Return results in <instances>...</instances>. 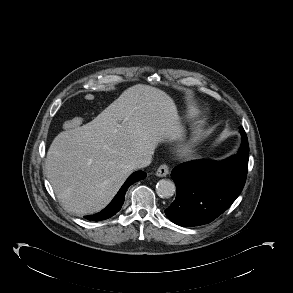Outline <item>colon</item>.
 Masks as SVG:
<instances>
[{
	"mask_svg": "<svg viewBox=\"0 0 293 293\" xmlns=\"http://www.w3.org/2000/svg\"><path fill=\"white\" fill-rule=\"evenodd\" d=\"M85 99L89 102L95 99V96L92 93H87ZM83 123V120L79 117L67 120L64 122L63 127L67 130L74 129L79 127Z\"/></svg>",
	"mask_w": 293,
	"mask_h": 293,
	"instance_id": "colon-1",
	"label": "colon"
}]
</instances>
